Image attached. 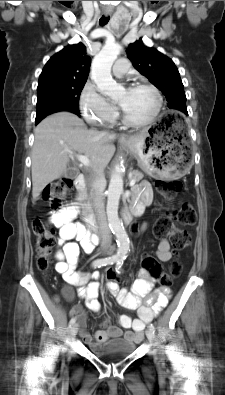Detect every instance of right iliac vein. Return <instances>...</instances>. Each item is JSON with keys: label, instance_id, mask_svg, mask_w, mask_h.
Listing matches in <instances>:
<instances>
[{"label": "right iliac vein", "instance_id": "obj_1", "mask_svg": "<svg viewBox=\"0 0 225 395\" xmlns=\"http://www.w3.org/2000/svg\"><path fill=\"white\" fill-rule=\"evenodd\" d=\"M78 332V324H73L70 330L71 336L75 337Z\"/></svg>", "mask_w": 225, "mask_h": 395}]
</instances>
